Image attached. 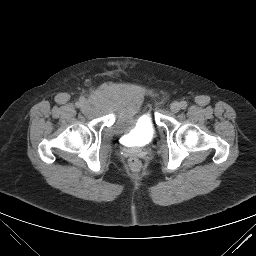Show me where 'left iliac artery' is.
Returning a JSON list of instances; mask_svg holds the SVG:
<instances>
[{"instance_id": "44dca946", "label": "left iliac artery", "mask_w": 256, "mask_h": 256, "mask_svg": "<svg viewBox=\"0 0 256 256\" xmlns=\"http://www.w3.org/2000/svg\"><path fill=\"white\" fill-rule=\"evenodd\" d=\"M180 106H181L182 109H186V107H187V102H186V101L180 102Z\"/></svg>"}]
</instances>
